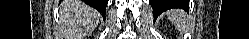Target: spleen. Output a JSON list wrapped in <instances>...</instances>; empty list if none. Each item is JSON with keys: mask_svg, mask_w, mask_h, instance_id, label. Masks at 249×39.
Listing matches in <instances>:
<instances>
[{"mask_svg": "<svg viewBox=\"0 0 249 39\" xmlns=\"http://www.w3.org/2000/svg\"><path fill=\"white\" fill-rule=\"evenodd\" d=\"M167 14L172 22H180L182 19V13L179 10H171Z\"/></svg>", "mask_w": 249, "mask_h": 39, "instance_id": "1", "label": "spleen"}]
</instances>
